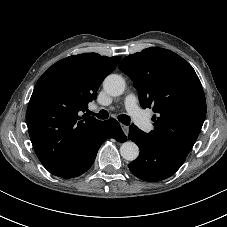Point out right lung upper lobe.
<instances>
[{"label":"right lung upper lobe","mask_w":227,"mask_h":227,"mask_svg":"<svg viewBox=\"0 0 227 227\" xmlns=\"http://www.w3.org/2000/svg\"><path fill=\"white\" fill-rule=\"evenodd\" d=\"M120 59L97 53L69 56L37 81L26 119L35 153L48 171L68 159L103 123L82 113Z\"/></svg>","instance_id":"1"}]
</instances>
